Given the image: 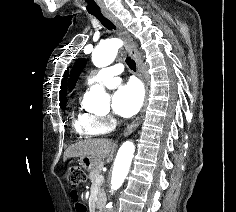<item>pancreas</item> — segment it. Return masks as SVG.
<instances>
[{
	"label": "pancreas",
	"instance_id": "cf45deb5",
	"mask_svg": "<svg viewBox=\"0 0 236 212\" xmlns=\"http://www.w3.org/2000/svg\"><path fill=\"white\" fill-rule=\"evenodd\" d=\"M101 172V166H97L95 169L90 171L89 178L92 182V184L97 183L96 180L98 176L100 175ZM102 182L99 183V201L97 202V208H103L105 202L104 200L106 199L104 189L101 187Z\"/></svg>",
	"mask_w": 236,
	"mask_h": 212
}]
</instances>
